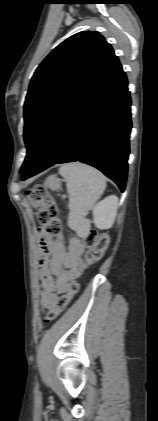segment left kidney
<instances>
[{
  "instance_id": "obj_1",
  "label": "left kidney",
  "mask_w": 158,
  "mask_h": 421,
  "mask_svg": "<svg viewBox=\"0 0 158 421\" xmlns=\"http://www.w3.org/2000/svg\"><path fill=\"white\" fill-rule=\"evenodd\" d=\"M118 208V198L115 195L106 197L93 209L94 224L99 229H109L113 226Z\"/></svg>"
}]
</instances>
